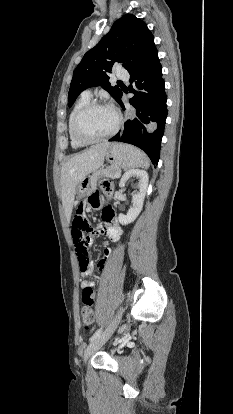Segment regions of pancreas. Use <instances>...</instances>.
I'll list each match as a JSON object with an SVG mask.
<instances>
[{
    "instance_id": "1",
    "label": "pancreas",
    "mask_w": 233,
    "mask_h": 414,
    "mask_svg": "<svg viewBox=\"0 0 233 414\" xmlns=\"http://www.w3.org/2000/svg\"><path fill=\"white\" fill-rule=\"evenodd\" d=\"M120 174H121V170L118 167H108L106 169L100 170L93 177V180L91 183L92 189L96 187V183L99 178L107 177V178L115 179V178H118V175Z\"/></svg>"
}]
</instances>
